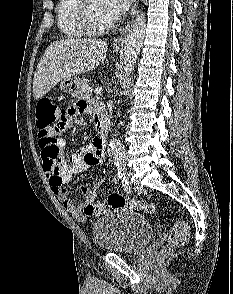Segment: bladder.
<instances>
[{"instance_id": "31cf9c89", "label": "bladder", "mask_w": 233, "mask_h": 294, "mask_svg": "<svg viewBox=\"0 0 233 294\" xmlns=\"http://www.w3.org/2000/svg\"><path fill=\"white\" fill-rule=\"evenodd\" d=\"M92 235L103 251L137 254L152 239L154 228L138 211L121 207L98 218L93 224Z\"/></svg>"}]
</instances>
